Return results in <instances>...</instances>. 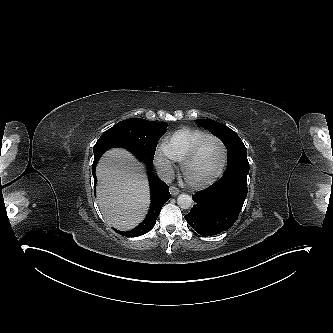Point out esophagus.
<instances>
[{
    "label": "esophagus",
    "mask_w": 333,
    "mask_h": 333,
    "mask_svg": "<svg viewBox=\"0 0 333 333\" xmlns=\"http://www.w3.org/2000/svg\"><path fill=\"white\" fill-rule=\"evenodd\" d=\"M169 190L172 196H176L180 192L176 186H170Z\"/></svg>",
    "instance_id": "1"
}]
</instances>
